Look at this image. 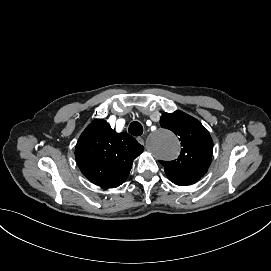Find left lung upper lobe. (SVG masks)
<instances>
[{
  "label": "left lung upper lobe",
  "instance_id": "obj_1",
  "mask_svg": "<svg viewBox=\"0 0 271 271\" xmlns=\"http://www.w3.org/2000/svg\"><path fill=\"white\" fill-rule=\"evenodd\" d=\"M160 125L179 136L182 146L176 160L160 161L168 179L179 186L196 183L211 162L213 141L209 132L197 119L180 110L163 114Z\"/></svg>",
  "mask_w": 271,
  "mask_h": 271
}]
</instances>
